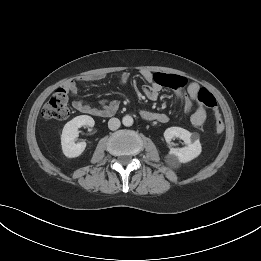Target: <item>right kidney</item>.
I'll return each instance as SVG.
<instances>
[{
	"mask_svg": "<svg viewBox=\"0 0 261 261\" xmlns=\"http://www.w3.org/2000/svg\"><path fill=\"white\" fill-rule=\"evenodd\" d=\"M94 124L95 121L88 115L77 116L65 124L61 135V145L66 157L74 158L82 154L86 148V143H75V139L79 136L78 128L82 126L93 127Z\"/></svg>",
	"mask_w": 261,
	"mask_h": 261,
	"instance_id": "ca27d5eb",
	"label": "right kidney"
}]
</instances>
